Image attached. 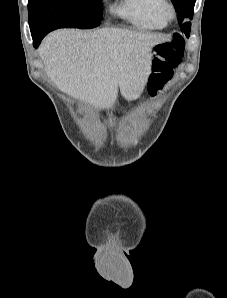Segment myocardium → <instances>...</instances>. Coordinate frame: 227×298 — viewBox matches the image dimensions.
Instances as JSON below:
<instances>
[{"label":"myocardium","mask_w":227,"mask_h":298,"mask_svg":"<svg viewBox=\"0 0 227 298\" xmlns=\"http://www.w3.org/2000/svg\"><path fill=\"white\" fill-rule=\"evenodd\" d=\"M164 14L168 20L176 17L175 6L171 2H168L167 0H165Z\"/></svg>","instance_id":"f54148a6"}]
</instances>
